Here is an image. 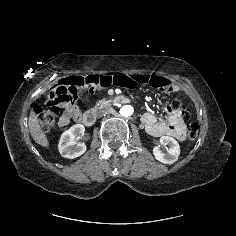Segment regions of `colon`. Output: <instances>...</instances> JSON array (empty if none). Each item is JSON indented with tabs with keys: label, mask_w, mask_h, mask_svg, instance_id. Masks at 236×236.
I'll return each instance as SVG.
<instances>
[{
	"label": "colon",
	"mask_w": 236,
	"mask_h": 236,
	"mask_svg": "<svg viewBox=\"0 0 236 236\" xmlns=\"http://www.w3.org/2000/svg\"><path fill=\"white\" fill-rule=\"evenodd\" d=\"M82 88L83 82L80 80L75 78L62 80L51 92L47 106L35 108V113L38 120L45 131H50L55 126L60 115L61 104H69L74 102L78 98V90ZM172 108L176 111H181L184 120H190L191 114L189 109L183 106L180 101H174L172 103ZM198 132V123L190 122L187 128L188 138L191 140L196 139Z\"/></svg>",
	"instance_id": "1"
}]
</instances>
